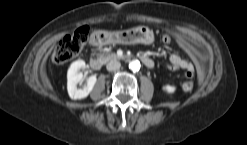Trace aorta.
Here are the masks:
<instances>
[{
    "label": "aorta",
    "instance_id": "762f6f07",
    "mask_svg": "<svg viewBox=\"0 0 247 145\" xmlns=\"http://www.w3.org/2000/svg\"><path fill=\"white\" fill-rule=\"evenodd\" d=\"M129 69L132 71H138L140 69V62L138 60L130 61Z\"/></svg>",
    "mask_w": 247,
    "mask_h": 145
}]
</instances>
